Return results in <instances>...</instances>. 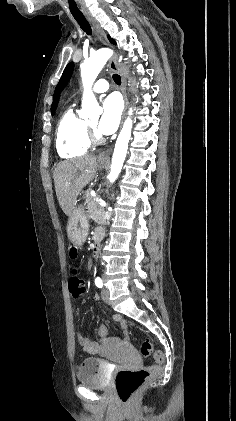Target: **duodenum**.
<instances>
[{
    "label": "duodenum",
    "mask_w": 236,
    "mask_h": 421,
    "mask_svg": "<svg viewBox=\"0 0 236 421\" xmlns=\"http://www.w3.org/2000/svg\"><path fill=\"white\" fill-rule=\"evenodd\" d=\"M104 238V231L101 228L96 229L94 234V249L96 250ZM100 335L104 337L106 333L101 332ZM125 339H127V331L125 332ZM81 343L84 348L92 353L104 354L107 348V342L102 341L101 345L92 344L86 338L81 337Z\"/></svg>",
    "instance_id": "duodenum-1"
}]
</instances>
